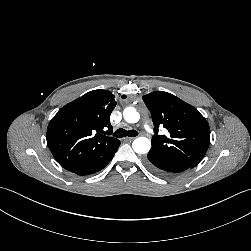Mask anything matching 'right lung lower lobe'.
<instances>
[{
  "mask_svg": "<svg viewBox=\"0 0 251 251\" xmlns=\"http://www.w3.org/2000/svg\"><path fill=\"white\" fill-rule=\"evenodd\" d=\"M120 143L111 151L105 158H103L101 161L98 163L91 165V166H86L81 169H78L76 171H73V173L78 174V175H89L96 173L103 169L113 158L114 154L116 153Z\"/></svg>",
  "mask_w": 251,
  "mask_h": 251,
  "instance_id": "98d812e1",
  "label": "right lung lower lobe"
}]
</instances>
